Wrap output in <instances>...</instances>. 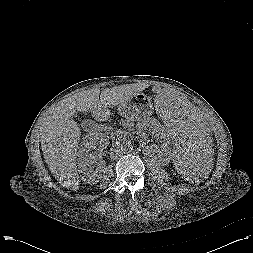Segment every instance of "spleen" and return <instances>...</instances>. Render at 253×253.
Wrapping results in <instances>:
<instances>
[{
    "instance_id": "spleen-1",
    "label": "spleen",
    "mask_w": 253,
    "mask_h": 253,
    "mask_svg": "<svg viewBox=\"0 0 253 253\" xmlns=\"http://www.w3.org/2000/svg\"><path fill=\"white\" fill-rule=\"evenodd\" d=\"M153 105L171 136L181 174L191 183L206 181L218 157L209 127L175 89L159 91Z\"/></svg>"
}]
</instances>
